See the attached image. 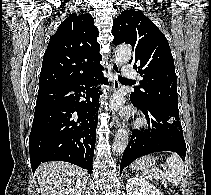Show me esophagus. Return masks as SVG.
<instances>
[{
  "mask_svg": "<svg viewBox=\"0 0 211 195\" xmlns=\"http://www.w3.org/2000/svg\"><path fill=\"white\" fill-rule=\"evenodd\" d=\"M111 72H112V91L115 92L120 87V83L118 81V76L120 74V66L115 60H113L112 62ZM112 123L116 128L121 126V121L117 115H114L112 117Z\"/></svg>",
  "mask_w": 211,
  "mask_h": 195,
  "instance_id": "34e87169",
  "label": "esophagus"
}]
</instances>
